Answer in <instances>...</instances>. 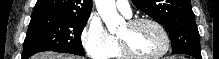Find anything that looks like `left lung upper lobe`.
I'll return each mask as SVG.
<instances>
[{
  "instance_id": "left-lung-upper-lobe-1",
  "label": "left lung upper lobe",
  "mask_w": 219,
  "mask_h": 59,
  "mask_svg": "<svg viewBox=\"0 0 219 59\" xmlns=\"http://www.w3.org/2000/svg\"><path fill=\"white\" fill-rule=\"evenodd\" d=\"M141 11L168 27L174 54L200 51V35L190 0H132Z\"/></svg>"
}]
</instances>
